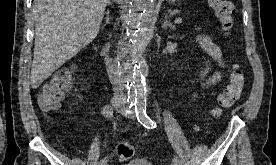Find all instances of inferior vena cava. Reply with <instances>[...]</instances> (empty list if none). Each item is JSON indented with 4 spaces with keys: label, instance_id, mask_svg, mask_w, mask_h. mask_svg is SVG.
I'll return each mask as SVG.
<instances>
[{
    "label": "inferior vena cava",
    "instance_id": "inferior-vena-cava-1",
    "mask_svg": "<svg viewBox=\"0 0 276 165\" xmlns=\"http://www.w3.org/2000/svg\"><path fill=\"white\" fill-rule=\"evenodd\" d=\"M106 67L109 79L113 85V100L124 103L126 100L124 94V85L122 83L121 77L118 74V67L116 63L107 60Z\"/></svg>",
    "mask_w": 276,
    "mask_h": 165
}]
</instances>
